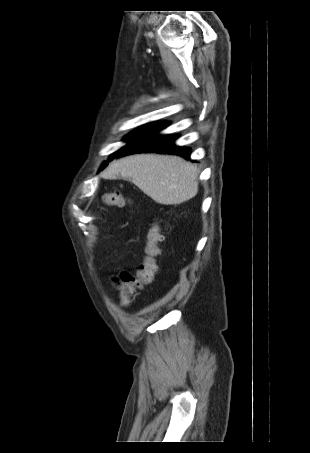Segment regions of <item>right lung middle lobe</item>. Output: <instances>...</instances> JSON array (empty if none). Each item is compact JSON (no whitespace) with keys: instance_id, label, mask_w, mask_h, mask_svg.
Returning a JSON list of instances; mask_svg holds the SVG:
<instances>
[{"instance_id":"dd1d6c3e","label":"right lung middle lobe","mask_w":310,"mask_h":453,"mask_svg":"<svg viewBox=\"0 0 310 453\" xmlns=\"http://www.w3.org/2000/svg\"><path fill=\"white\" fill-rule=\"evenodd\" d=\"M151 124H147V125H144L142 127H140L139 129H137L136 131L132 132L127 138H126V141L127 142H131L133 140H135L141 133H143ZM126 147V146H125ZM125 147H123L122 149H120L119 151L115 152L109 159V161H111L112 159H114ZM107 166V163H104L101 167V170L104 169L105 167Z\"/></svg>"}]
</instances>
